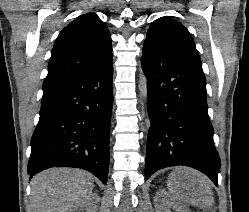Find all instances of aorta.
Returning a JSON list of instances; mask_svg holds the SVG:
<instances>
[{
    "label": "aorta",
    "instance_id": "aorta-1",
    "mask_svg": "<svg viewBox=\"0 0 249 212\" xmlns=\"http://www.w3.org/2000/svg\"><path fill=\"white\" fill-rule=\"evenodd\" d=\"M139 91L140 94L142 95V97L144 99L147 98V94H148V89H147V78L144 74H140L139 77Z\"/></svg>",
    "mask_w": 249,
    "mask_h": 212
}]
</instances>
